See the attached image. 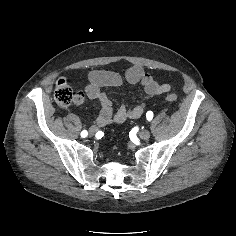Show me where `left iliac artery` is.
I'll list each match as a JSON object with an SVG mask.
<instances>
[{"label":"left iliac artery","instance_id":"44dca946","mask_svg":"<svg viewBox=\"0 0 236 236\" xmlns=\"http://www.w3.org/2000/svg\"><path fill=\"white\" fill-rule=\"evenodd\" d=\"M146 118H147L148 121H151L152 118H153V112L152 111H148L146 113Z\"/></svg>","mask_w":236,"mask_h":236}]
</instances>
